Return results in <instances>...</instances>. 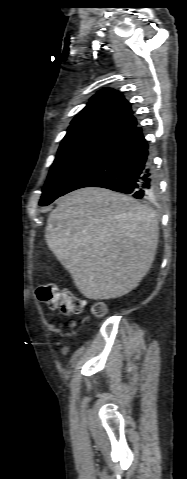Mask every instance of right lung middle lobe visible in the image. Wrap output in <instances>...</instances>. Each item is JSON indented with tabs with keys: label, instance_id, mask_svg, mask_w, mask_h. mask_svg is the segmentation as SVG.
Segmentation results:
<instances>
[{
	"label": "right lung middle lobe",
	"instance_id": "1",
	"mask_svg": "<svg viewBox=\"0 0 187 479\" xmlns=\"http://www.w3.org/2000/svg\"><path fill=\"white\" fill-rule=\"evenodd\" d=\"M125 134L123 131L106 126H90L68 131L51 166L39 204L46 206L59 197L83 169Z\"/></svg>",
	"mask_w": 187,
	"mask_h": 479
}]
</instances>
